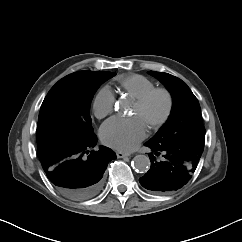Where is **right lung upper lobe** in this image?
I'll return each instance as SVG.
<instances>
[{"instance_id":"1","label":"right lung upper lobe","mask_w":242,"mask_h":242,"mask_svg":"<svg viewBox=\"0 0 242 242\" xmlns=\"http://www.w3.org/2000/svg\"><path fill=\"white\" fill-rule=\"evenodd\" d=\"M92 72L94 71H79V72L72 73L64 78L84 79L87 76H89Z\"/></svg>"}]
</instances>
